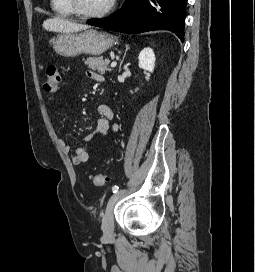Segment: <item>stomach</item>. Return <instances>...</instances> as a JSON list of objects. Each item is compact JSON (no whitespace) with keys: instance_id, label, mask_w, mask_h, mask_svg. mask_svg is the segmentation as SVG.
Masks as SVG:
<instances>
[{"instance_id":"0dacf381","label":"stomach","mask_w":255,"mask_h":272,"mask_svg":"<svg viewBox=\"0 0 255 272\" xmlns=\"http://www.w3.org/2000/svg\"><path fill=\"white\" fill-rule=\"evenodd\" d=\"M114 43L111 35L96 30L81 33H62L53 41L56 53L64 57H75L81 54L100 55Z\"/></svg>"}]
</instances>
